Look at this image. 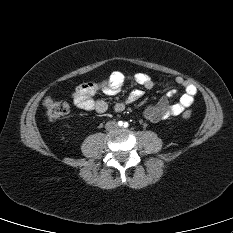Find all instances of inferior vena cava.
<instances>
[{
	"label": "inferior vena cava",
	"instance_id": "inferior-vena-cava-1",
	"mask_svg": "<svg viewBox=\"0 0 233 233\" xmlns=\"http://www.w3.org/2000/svg\"><path fill=\"white\" fill-rule=\"evenodd\" d=\"M112 126H117V124L115 122H107L106 124L107 129H110Z\"/></svg>",
	"mask_w": 233,
	"mask_h": 233
}]
</instances>
